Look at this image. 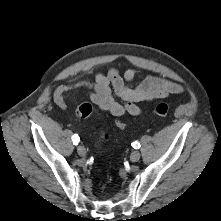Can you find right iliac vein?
I'll return each mask as SVG.
<instances>
[{"label": "right iliac vein", "mask_w": 221, "mask_h": 221, "mask_svg": "<svg viewBox=\"0 0 221 221\" xmlns=\"http://www.w3.org/2000/svg\"><path fill=\"white\" fill-rule=\"evenodd\" d=\"M77 152L81 157H85L86 156V149L84 146H78L77 147Z\"/></svg>", "instance_id": "63e3f726"}]
</instances>
